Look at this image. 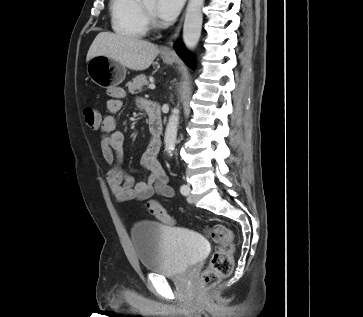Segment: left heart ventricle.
Here are the masks:
<instances>
[{
  "instance_id": "left-heart-ventricle-1",
  "label": "left heart ventricle",
  "mask_w": 363,
  "mask_h": 317,
  "mask_svg": "<svg viewBox=\"0 0 363 317\" xmlns=\"http://www.w3.org/2000/svg\"><path fill=\"white\" fill-rule=\"evenodd\" d=\"M145 7L155 14L156 0H144Z\"/></svg>"
}]
</instances>
